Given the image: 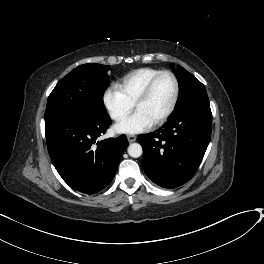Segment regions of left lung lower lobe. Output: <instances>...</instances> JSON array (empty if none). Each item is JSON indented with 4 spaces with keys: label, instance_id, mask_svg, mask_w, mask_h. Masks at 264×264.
<instances>
[{
    "label": "left lung lower lobe",
    "instance_id": "obj_1",
    "mask_svg": "<svg viewBox=\"0 0 264 264\" xmlns=\"http://www.w3.org/2000/svg\"><path fill=\"white\" fill-rule=\"evenodd\" d=\"M209 99L194 100L173 113L156 132L138 136L146 175L164 188H176L196 173L211 138Z\"/></svg>",
    "mask_w": 264,
    "mask_h": 264
}]
</instances>
